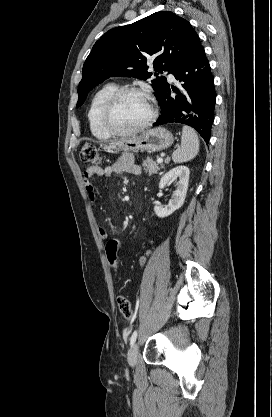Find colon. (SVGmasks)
<instances>
[{
	"label": "colon",
	"mask_w": 272,
	"mask_h": 417,
	"mask_svg": "<svg viewBox=\"0 0 272 417\" xmlns=\"http://www.w3.org/2000/svg\"><path fill=\"white\" fill-rule=\"evenodd\" d=\"M80 159L82 162L86 164L94 165L100 162V154L95 145L87 142L82 145V148L80 150ZM122 245H123L122 241L118 239H110L105 244V251H106L108 263L114 273H116L118 269L117 253ZM148 254L149 253H147L145 256L141 258V264H145ZM117 303H118L119 310L124 318L126 319L134 318L135 316L134 310L126 295H119L117 298Z\"/></svg>",
	"instance_id": "colon-1"
}]
</instances>
